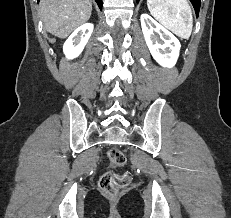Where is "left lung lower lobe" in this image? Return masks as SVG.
Segmentation results:
<instances>
[{
    "label": "left lung lower lobe",
    "mask_w": 231,
    "mask_h": 218,
    "mask_svg": "<svg viewBox=\"0 0 231 218\" xmlns=\"http://www.w3.org/2000/svg\"><path fill=\"white\" fill-rule=\"evenodd\" d=\"M136 1H137V3L139 2V0H136ZM190 1L193 4L196 15L198 17L199 9H200V0H190Z\"/></svg>",
    "instance_id": "left-lung-lower-lobe-1"
}]
</instances>
